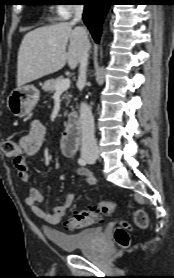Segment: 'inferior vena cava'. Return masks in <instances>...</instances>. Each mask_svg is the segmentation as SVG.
<instances>
[{"label": "inferior vena cava", "instance_id": "1", "mask_svg": "<svg viewBox=\"0 0 174 278\" xmlns=\"http://www.w3.org/2000/svg\"><path fill=\"white\" fill-rule=\"evenodd\" d=\"M74 11H75V17L71 22L72 25L82 19L83 5H75ZM88 51L89 49L85 50L80 61L79 76L77 81V86L79 87L80 90H82L86 82ZM80 120H81V135H82L81 152L83 154H89V153L97 154L98 147L94 135V118L91 112V108L85 103H81L80 105Z\"/></svg>", "mask_w": 174, "mask_h": 278}]
</instances>
